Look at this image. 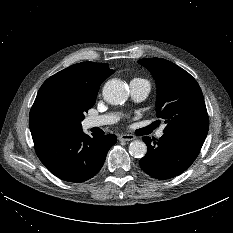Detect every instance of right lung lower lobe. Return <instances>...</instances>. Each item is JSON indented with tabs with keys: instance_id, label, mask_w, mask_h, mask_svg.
Returning <instances> with one entry per match:
<instances>
[{
	"instance_id": "1",
	"label": "right lung lower lobe",
	"mask_w": 233,
	"mask_h": 233,
	"mask_svg": "<svg viewBox=\"0 0 233 233\" xmlns=\"http://www.w3.org/2000/svg\"><path fill=\"white\" fill-rule=\"evenodd\" d=\"M33 141L37 156L49 171L64 181L79 183L99 172L117 138L113 134L90 137L80 128L53 131Z\"/></svg>"
}]
</instances>
